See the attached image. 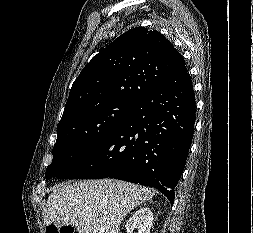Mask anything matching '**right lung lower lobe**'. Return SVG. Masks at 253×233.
Returning <instances> with one entry per match:
<instances>
[{"label": "right lung lower lobe", "mask_w": 253, "mask_h": 233, "mask_svg": "<svg viewBox=\"0 0 253 233\" xmlns=\"http://www.w3.org/2000/svg\"><path fill=\"white\" fill-rule=\"evenodd\" d=\"M195 123V96L186 67L138 97L121 124L93 151L57 175L116 178L161 191L174 202Z\"/></svg>", "instance_id": "1"}]
</instances>
